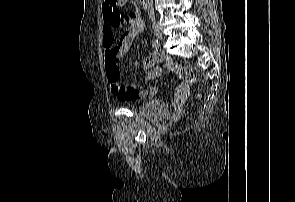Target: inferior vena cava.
Instances as JSON below:
<instances>
[{"instance_id": "obj_1", "label": "inferior vena cava", "mask_w": 295, "mask_h": 202, "mask_svg": "<svg viewBox=\"0 0 295 202\" xmlns=\"http://www.w3.org/2000/svg\"><path fill=\"white\" fill-rule=\"evenodd\" d=\"M147 10H148V15L149 18L154 19V9H153V0H147Z\"/></svg>"}]
</instances>
